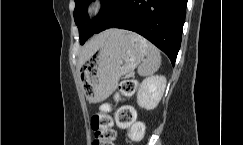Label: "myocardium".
I'll return each mask as SVG.
<instances>
[{"mask_svg":"<svg viewBox=\"0 0 243 145\" xmlns=\"http://www.w3.org/2000/svg\"><path fill=\"white\" fill-rule=\"evenodd\" d=\"M108 0H89L85 7V15L88 21L97 19L108 7Z\"/></svg>","mask_w":243,"mask_h":145,"instance_id":"f54148a6","label":"myocardium"}]
</instances>
